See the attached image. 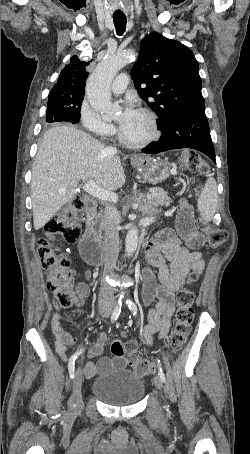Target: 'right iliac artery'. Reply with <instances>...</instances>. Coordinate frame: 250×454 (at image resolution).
Segmentation results:
<instances>
[{
    "instance_id": "82829eb1",
    "label": "right iliac artery",
    "mask_w": 250,
    "mask_h": 454,
    "mask_svg": "<svg viewBox=\"0 0 250 454\" xmlns=\"http://www.w3.org/2000/svg\"><path fill=\"white\" fill-rule=\"evenodd\" d=\"M121 306H122V301L121 299L118 300V303L111 315V323L115 322L117 320V318L119 317V314L121 312ZM84 351V349H80L79 351L75 352L69 359V363H68V370H69V374H70V378L73 379L74 378V369H75V360L77 359V357L82 354Z\"/></svg>"
}]
</instances>
